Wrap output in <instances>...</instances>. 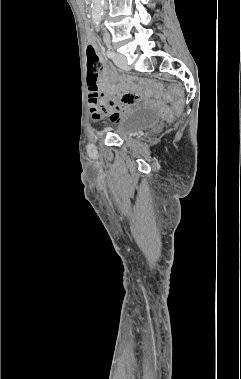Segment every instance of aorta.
Instances as JSON below:
<instances>
[{"instance_id": "obj_1", "label": "aorta", "mask_w": 241, "mask_h": 379, "mask_svg": "<svg viewBox=\"0 0 241 379\" xmlns=\"http://www.w3.org/2000/svg\"><path fill=\"white\" fill-rule=\"evenodd\" d=\"M103 12V0H92V21L96 27L99 26L101 21V16Z\"/></svg>"}]
</instances>
